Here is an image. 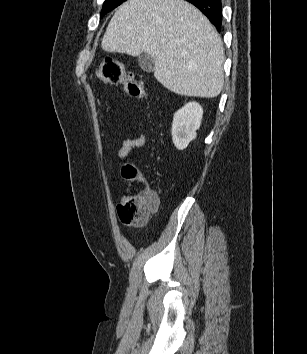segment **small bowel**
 Returning a JSON list of instances; mask_svg holds the SVG:
<instances>
[{"label":"small bowel","mask_w":307,"mask_h":354,"mask_svg":"<svg viewBox=\"0 0 307 354\" xmlns=\"http://www.w3.org/2000/svg\"><path fill=\"white\" fill-rule=\"evenodd\" d=\"M146 144V136L142 132H138L135 137L128 138L123 141L121 147L116 153L117 159L126 158L133 149L143 147Z\"/></svg>","instance_id":"small-bowel-1"}]
</instances>
